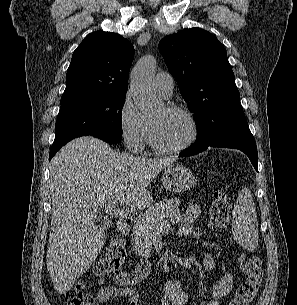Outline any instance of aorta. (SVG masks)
<instances>
[{
	"instance_id": "aorta-1",
	"label": "aorta",
	"mask_w": 297,
	"mask_h": 305,
	"mask_svg": "<svg viewBox=\"0 0 297 305\" xmlns=\"http://www.w3.org/2000/svg\"><path fill=\"white\" fill-rule=\"evenodd\" d=\"M156 61L152 56L141 58L131 71L130 89L138 110L144 114H154L160 107L155 94L153 74Z\"/></svg>"
}]
</instances>
